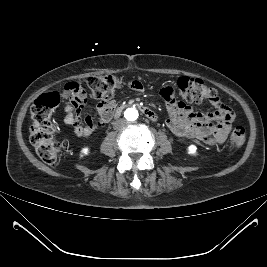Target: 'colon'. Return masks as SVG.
Listing matches in <instances>:
<instances>
[{"label":"colon","mask_w":267,"mask_h":267,"mask_svg":"<svg viewBox=\"0 0 267 267\" xmlns=\"http://www.w3.org/2000/svg\"><path fill=\"white\" fill-rule=\"evenodd\" d=\"M87 85L91 96L100 103H107L121 86V80L113 75L90 77ZM177 87L183 101L189 103L213 102L217 99L215 89L207 86L202 80L191 77H180ZM59 103V95L49 92L35 100L31 108L32 125L30 127V141L37 155L42 161L54 165L60 154L70 145L68 139L57 140L52 113ZM246 139L244 127H236L230 136V145L241 147Z\"/></svg>","instance_id":"colon-1"}]
</instances>
